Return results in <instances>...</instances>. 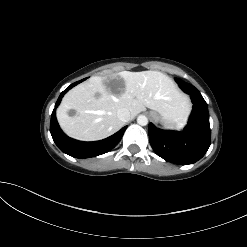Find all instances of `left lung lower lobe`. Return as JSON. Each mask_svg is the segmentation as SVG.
Returning <instances> with one entry per match:
<instances>
[{"label":"left lung lower lobe","instance_id":"1","mask_svg":"<svg viewBox=\"0 0 247 247\" xmlns=\"http://www.w3.org/2000/svg\"><path fill=\"white\" fill-rule=\"evenodd\" d=\"M182 90L193 102L188 125L181 132L164 131L149 124V140L154 152L168 162L187 165L200 160L210 144L208 106L196 87L175 78Z\"/></svg>","mask_w":247,"mask_h":247}]
</instances>
